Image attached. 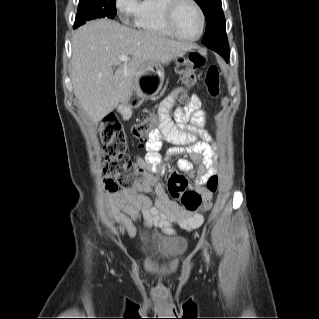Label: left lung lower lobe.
<instances>
[{
    "label": "left lung lower lobe",
    "instance_id": "obj_1",
    "mask_svg": "<svg viewBox=\"0 0 319 319\" xmlns=\"http://www.w3.org/2000/svg\"><path fill=\"white\" fill-rule=\"evenodd\" d=\"M222 54H223V57L225 58V60L228 61L229 60V50L226 52H223Z\"/></svg>",
    "mask_w": 319,
    "mask_h": 319
}]
</instances>
